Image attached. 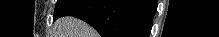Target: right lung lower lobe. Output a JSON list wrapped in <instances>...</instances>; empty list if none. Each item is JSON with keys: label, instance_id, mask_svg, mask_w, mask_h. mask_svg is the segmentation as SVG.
Returning a JSON list of instances; mask_svg holds the SVG:
<instances>
[{"label": "right lung lower lobe", "instance_id": "98d812e1", "mask_svg": "<svg viewBox=\"0 0 219 37\" xmlns=\"http://www.w3.org/2000/svg\"><path fill=\"white\" fill-rule=\"evenodd\" d=\"M156 8V0H73L54 18L77 17L102 37H147Z\"/></svg>", "mask_w": 219, "mask_h": 37}]
</instances>
